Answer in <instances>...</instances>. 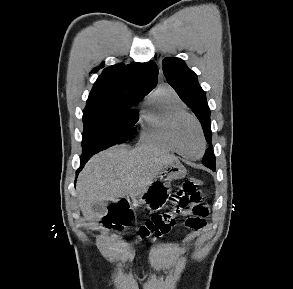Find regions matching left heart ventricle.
Returning a JSON list of instances; mask_svg holds the SVG:
<instances>
[{
    "instance_id": "obj_1",
    "label": "left heart ventricle",
    "mask_w": 293,
    "mask_h": 289,
    "mask_svg": "<svg viewBox=\"0 0 293 289\" xmlns=\"http://www.w3.org/2000/svg\"><path fill=\"white\" fill-rule=\"evenodd\" d=\"M178 141L182 151L187 155L195 157L200 154L202 141L193 121L187 120L180 125Z\"/></svg>"
}]
</instances>
